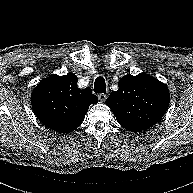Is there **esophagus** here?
<instances>
[{
	"label": "esophagus",
	"mask_w": 193,
	"mask_h": 193,
	"mask_svg": "<svg viewBox=\"0 0 193 193\" xmlns=\"http://www.w3.org/2000/svg\"><path fill=\"white\" fill-rule=\"evenodd\" d=\"M107 98V95L104 94V93H99L98 94V99L101 101V102H104Z\"/></svg>",
	"instance_id": "esophagus-1"
}]
</instances>
